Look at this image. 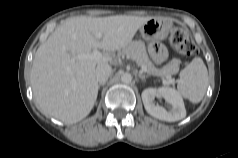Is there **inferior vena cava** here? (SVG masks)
Segmentation results:
<instances>
[{"label":"inferior vena cava","mask_w":238,"mask_h":158,"mask_svg":"<svg viewBox=\"0 0 238 158\" xmlns=\"http://www.w3.org/2000/svg\"><path fill=\"white\" fill-rule=\"evenodd\" d=\"M112 68L107 63L98 64L95 70L96 79L99 83H105L111 75Z\"/></svg>","instance_id":"1"}]
</instances>
